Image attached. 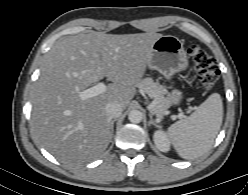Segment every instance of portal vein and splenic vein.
I'll return each mask as SVG.
<instances>
[{"instance_id":"obj_1","label":"portal vein and splenic vein","mask_w":248,"mask_h":195,"mask_svg":"<svg viewBox=\"0 0 248 195\" xmlns=\"http://www.w3.org/2000/svg\"><path fill=\"white\" fill-rule=\"evenodd\" d=\"M106 89L107 86L104 83L100 82L96 86L79 92V98L82 100H86L104 93Z\"/></svg>"}]
</instances>
